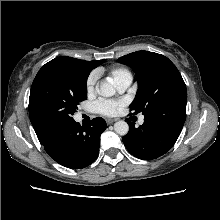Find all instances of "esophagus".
<instances>
[{
	"instance_id": "obj_1",
	"label": "esophagus",
	"mask_w": 220,
	"mask_h": 220,
	"mask_svg": "<svg viewBox=\"0 0 220 220\" xmlns=\"http://www.w3.org/2000/svg\"><path fill=\"white\" fill-rule=\"evenodd\" d=\"M117 121V119H106V123L108 125L112 124L113 122Z\"/></svg>"
}]
</instances>
